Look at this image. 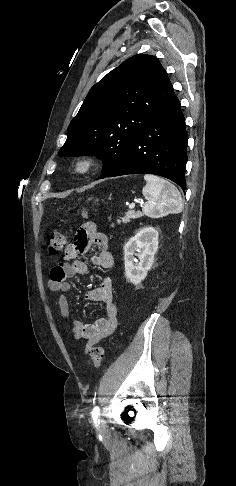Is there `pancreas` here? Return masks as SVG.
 Segmentation results:
<instances>
[{"label":"pancreas","mask_w":236,"mask_h":486,"mask_svg":"<svg viewBox=\"0 0 236 486\" xmlns=\"http://www.w3.org/2000/svg\"><path fill=\"white\" fill-rule=\"evenodd\" d=\"M142 214L140 212H135V211H128L127 213H125V216L122 218V220H118V224H127L129 223L132 219H136V218H139L141 217Z\"/></svg>","instance_id":"cf45deb5"}]
</instances>
